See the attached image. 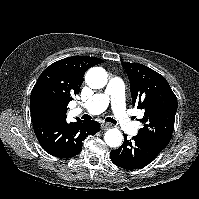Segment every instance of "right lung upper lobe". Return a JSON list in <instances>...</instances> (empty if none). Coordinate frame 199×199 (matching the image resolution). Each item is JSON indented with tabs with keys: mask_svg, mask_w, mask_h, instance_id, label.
<instances>
[{
	"mask_svg": "<svg viewBox=\"0 0 199 199\" xmlns=\"http://www.w3.org/2000/svg\"><path fill=\"white\" fill-rule=\"evenodd\" d=\"M103 62L96 57L73 56L47 67L31 92L32 121L42 118L66 120L67 106L79 93L84 73Z\"/></svg>",
	"mask_w": 199,
	"mask_h": 199,
	"instance_id": "right-lung-upper-lobe-1",
	"label": "right lung upper lobe"
}]
</instances>
